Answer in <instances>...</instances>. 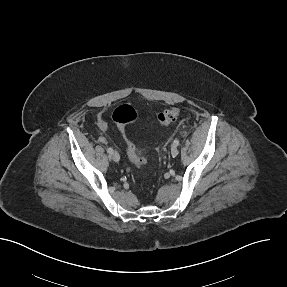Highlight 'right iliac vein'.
I'll return each mask as SVG.
<instances>
[{"mask_svg":"<svg viewBox=\"0 0 287 287\" xmlns=\"http://www.w3.org/2000/svg\"><path fill=\"white\" fill-rule=\"evenodd\" d=\"M112 159H113V161H115V162H119V160H120V155H119V153L118 152H113L112 153Z\"/></svg>","mask_w":287,"mask_h":287,"instance_id":"63e3f726","label":"right iliac vein"}]
</instances>
